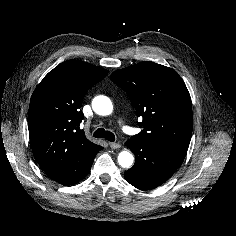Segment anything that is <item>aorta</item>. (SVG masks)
Wrapping results in <instances>:
<instances>
[{"label":"aorta","mask_w":236,"mask_h":236,"mask_svg":"<svg viewBox=\"0 0 236 236\" xmlns=\"http://www.w3.org/2000/svg\"><path fill=\"white\" fill-rule=\"evenodd\" d=\"M92 108L98 115L107 116L113 111V105L109 98H104L100 102H93ZM134 161V156L129 151H122L118 155V163L123 168H129Z\"/></svg>","instance_id":"aorta-1"}]
</instances>
